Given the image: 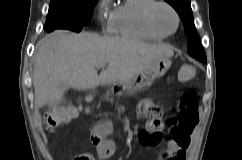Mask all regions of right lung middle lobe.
I'll return each instance as SVG.
<instances>
[{
  "label": "right lung middle lobe",
  "instance_id": "obj_1",
  "mask_svg": "<svg viewBox=\"0 0 242 160\" xmlns=\"http://www.w3.org/2000/svg\"><path fill=\"white\" fill-rule=\"evenodd\" d=\"M98 0H51L44 29H69L80 32L89 24Z\"/></svg>",
  "mask_w": 242,
  "mask_h": 160
}]
</instances>
